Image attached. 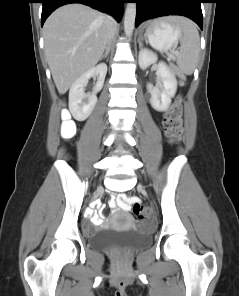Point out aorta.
I'll return each instance as SVG.
<instances>
[{
  "label": "aorta",
  "instance_id": "obj_1",
  "mask_svg": "<svg viewBox=\"0 0 239 296\" xmlns=\"http://www.w3.org/2000/svg\"><path fill=\"white\" fill-rule=\"evenodd\" d=\"M136 3H127L124 16V32L126 37L132 36L135 27Z\"/></svg>",
  "mask_w": 239,
  "mask_h": 296
}]
</instances>
